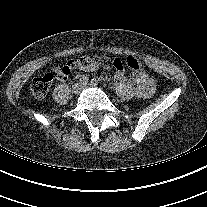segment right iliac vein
Returning a JSON list of instances; mask_svg holds the SVG:
<instances>
[{
	"mask_svg": "<svg viewBox=\"0 0 207 207\" xmlns=\"http://www.w3.org/2000/svg\"><path fill=\"white\" fill-rule=\"evenodd\" d=\"M82 90V85L81 83H75L73 86H72V91L74 94H79Z\"/></svg>",
	"mask_w": 207,
	"mask_h": 207,
	"instance_id": "63e3f726",
	"label": "right iliac vein"
}]
</instances>
